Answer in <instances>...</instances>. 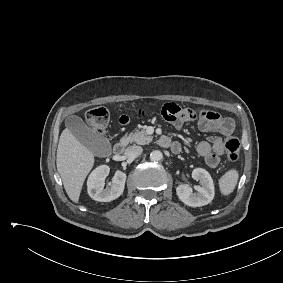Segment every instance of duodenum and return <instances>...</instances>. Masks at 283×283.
I'll use <instances>...</instances> for the list:
<instances>
[{"label":"duodenum","mask_w":283,"mask_h":283,"mask_svg":"<svg viewBox=\"0 0 283 283\" xmlns=\"http://www.w3.org/2000/svg\"><path fill=\"white\" fill-rule=\"evenodd\" d=\"M160 144L164 147H172L173 143L171 142V140L168 137H162L160 139ZM126 142L125 141H119L117 142L114 147H113V153L116 157H120L124 154L125 149H126Z\"/></svg>","instance_id":"obj_1"}]
</instances>
